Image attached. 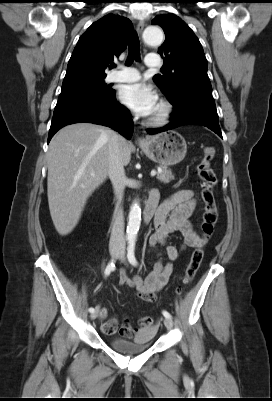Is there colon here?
<instances>
[{
	"mask_svg": "<svg viewBox=\"0 0 272 401\" xmlns=\"http://www.w3.org/2000/svg\"><path fill=\"white\" fill-rule=\"evenodd\" d=\"M215 150L211 146H205L203 148V155L197 164V174L201 180V200L203 203V214L201 231L202 238L207 241L215 228L218 219L217 203L215 199V188L218 183L217 175L211 167V162L214 158ZM203 246H197L190 258L185 274L182 278L184 285H189L194 279L200 264L204 257ZM142 323L150 324L153 319L150 317H144L141 319Z\"/></svg>",
	"mask_w": 272,
	"mask_h": 401,
	"instance_id": "obj_1",
	"label": "colon"
}]
</instances>
